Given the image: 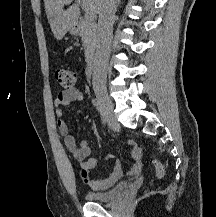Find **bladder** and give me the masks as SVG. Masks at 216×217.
Here are the masks:
<instances>
[{"instance_id":"bladder-1","label":"bladder","mask_w":216,"mask_h":217,"mask_svg":"<svg viewBox=\"0 0 216 217\" xmlns=\"http://www.w3.org/2000/svg\"><path fill=\"white\" fill-rule=\"evenodd\" d=\"M125 189L124 184H119L115 188L107 192L86 191L85 198L93 203H108L115 200Z\"/></svg>"}]
</instances>
